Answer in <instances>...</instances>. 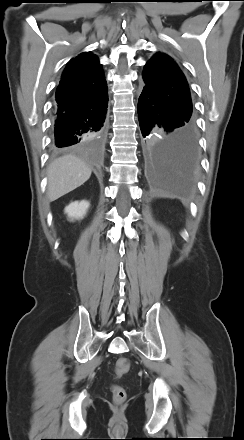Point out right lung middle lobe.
Instances as JSON below:
<instances>
[{"label":"right lung middle lobe","instance_id":"right-lung-middle-lobe-1","mask_svg":"<svg viewBox=\"0 0 244 440\" xmlns=\"http://www.w3.org/2000/svg\"><path fill=\"white\" fill-rule=\"evenodd\" d=\"M101 138H94L93 140H91V142L93 141H99Z\"/></svg>","mask_w":244,"mask_h":440}]
</instances>
